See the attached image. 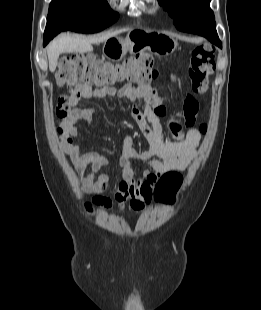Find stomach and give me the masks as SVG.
I'll return each instance as SVG.
<instances>
[{"label":"stomach","mask_w":261,"mask_h":310,"mask_svg":"<svg viewBox=\"0 0 261 310\" xmlns=\"http://www.w3.org/2000/svg\"><path fill=\"white\" fill-rule=\"evenodd\" d=\"M177 42L169 35L147 29H134L125 39L110 38L103 52L112 61H120L128 51L147 50L157 56H168L175 51Z\"/></svg>","instance_id":"stomach-1"}]
</instances>
